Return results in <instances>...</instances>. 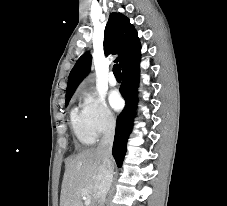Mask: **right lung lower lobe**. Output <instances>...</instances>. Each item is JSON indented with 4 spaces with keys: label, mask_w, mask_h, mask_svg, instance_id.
<instances>
[{
    "label": "right lung lower lobe",
    "mask_w": 227,
    "mask_h": 206,
    "mask_svg": "<svg viewBox=\"0 0 227 206\" xmlns=\"http://www.w3.org/2000/svg\"><path fill=\"white\" fill-rule=\"evenodd\" d=\"M139 62L127 66L123 72V82L121 85V93L126 101L124 110L117 117L115 139L113 143L112 154L118 167L122 166V162L126 153V144L133 126V118L137 104V87L139 85Z\"/></svg>",
    "instance_id": "98d812e1"
}]
</instances>
